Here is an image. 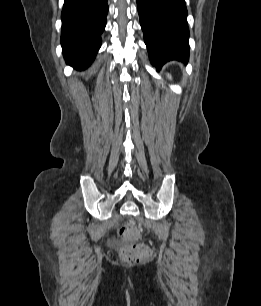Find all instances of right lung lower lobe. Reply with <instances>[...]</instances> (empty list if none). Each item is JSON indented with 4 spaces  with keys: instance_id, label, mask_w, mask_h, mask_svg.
I'll return each mask as SVG.
<instances>
[{
    "instance_id": "right-lung-lower-lobe-1",
    "label": "right lung lower lobe",
    "mask_w": 261,
    "mask_h": 306,
    "mask_svg": "<svg viewBox=\"0 0 261 306\" xmlns=\"http://www.w3.org/2000/svg\"><path fill=\"white\" fill-rule=\"evenodd\" d=\"M107 0H64L61 44L66 63L83 70L94 60L105 29Z\"/></svg>"
}]
</instances>
